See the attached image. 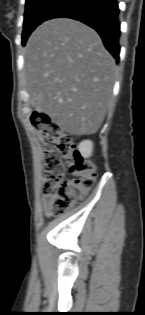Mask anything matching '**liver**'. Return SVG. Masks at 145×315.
<instances>
[{
	"mask_svg": "<svg viewBox=\"0 0 145 315\" xmlns=\"http://www.w3.org/2000/svg\"><path fill=\"white\" fill-rule=\"evenodd\" d=\"M25 69L37 112L71 135L98 131L111 102L116 64L95 30L72 19L45 21L28 39Z\"/></svg>",
	"mask_w": 145,
	"mask_h": 315,
	"instance_id": "obj_1",
	"label": "liver"
}]
</instances>
